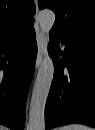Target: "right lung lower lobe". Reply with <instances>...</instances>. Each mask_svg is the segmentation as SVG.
Returning <instances> with one entry per match:
<instances>
[{
    "instance_id": "98d812e1",
    "label": "right lung lower lobe",
    "mask_w": 95,
    "mask_h": 130,
    "mask_svg": "<svg viewBox=\"0 0 95 130\" xmlns=\"http://www.w3.org/2000/svg\"><path fill=\"white\" fill-rule=\"evenodd\" d=\"M36 55L34 28L0 44V122L14 130L25 125L26 97Z\"/></svg>"
}]
</instances>
